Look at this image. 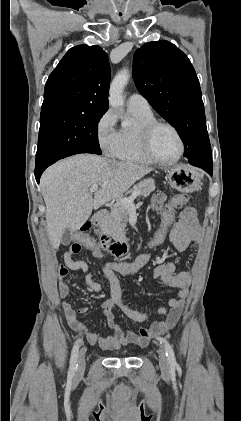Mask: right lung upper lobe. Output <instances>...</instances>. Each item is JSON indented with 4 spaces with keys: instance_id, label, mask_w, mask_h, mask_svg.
I'll return each instance as SVG.
<instances>
[{
    "instance_id": "1",
    "label": "right lung upper lobe",
    "mask_w": 241,
    "mask_h": 421,
    "mask_svg": "<svg viewBox=\"0 0 241 421\" xmlns=\"http://www.w3.org/2000/svg\"><path fill=\"white\" fill-rule=\"evenodd\" d=\"M110 66L99 46L71 48L50 74L41 112L66 110L105 113L108 109Z\"/></svg>"
}]
</instances>
